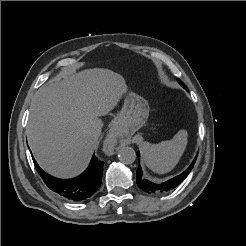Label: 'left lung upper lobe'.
I'll return each mask as SVG.
<instances>
[{"label": "left lung upper lobe", "instance_id": "left-lung-upper-lobe-1", "mask_svg": "<svg viewBox=\"0 0 246 246\" xmlns=\"http://www.w3.org/2000/svg\"><path fill=\"white\" fill-rule=\"evenodd\" d=\"M178 81H179V80H178ZM179 83H180L184 88H186L185 85H184L182 82L179 81Z\"/></svg>", "mask_w": 246, "mask_h": 246}]
</instances>
